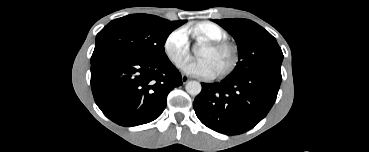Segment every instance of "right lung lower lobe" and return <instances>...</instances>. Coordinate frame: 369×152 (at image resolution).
Instances as JSON below:
<instances>
[{
  "label": "right lung lower lobe",
  "mask_w": 369,
  "mask_h": 152,
  "mask_svg": "<svg viewBox=\"0 0 369 152\" xmlns=\"http://www.w3.org/2000/svg\"><path fill=\"white\" fill-rule=\"evenodd\" d=\"M182 85L181 74L166 57L144 60L115 55L91 63L96 104L113 122L126 127L158 118L168 93Z\"/></svg>",
  "instance_id": "obj_1"
}]
</instances>
